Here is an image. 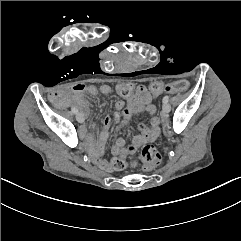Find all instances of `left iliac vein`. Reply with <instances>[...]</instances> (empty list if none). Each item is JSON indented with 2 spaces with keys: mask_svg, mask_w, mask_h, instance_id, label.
Masks as SVG:
<instances>
[{
  "mask_svg": "<svg viewBox=\"0 0 241 241\" xmlns=\"http://www.w3.org/2000/svg\"><path fill=\"white\" fill-rule=\"evenodd\" d=\"M170 110H171L170 105H169L167 102H165V103L163 104V111H162L163 114H167V113H169Z\"/></svg>",
  "mask_w": 241,
  "mask_h": 241,
  "instance_id": "1",
  "label": "left iliac vein"
}]
</instances>
